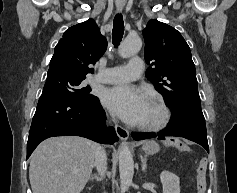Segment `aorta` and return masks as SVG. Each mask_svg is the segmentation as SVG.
Listing matches in <instances>:
<instances>
[{
	"mask_svg": "<svg viewBox=\"0 0 237 193\" xmlns=\"http://www.w3.org/2000/svg\"><path fill=\"white\" fill-rule=\"evenodd\" d=\"M142 47V40L137 35H128L119 48V55L123 58L136 54ZM119 173L121 191L124 193L132 183L134 175V161L131 151L126 144L119 150Z\"/></svg>",
	"mask_w": 237,
	"mask_h": 193,
	"instance_id": "obj_1",
	"label": "aorta"
}]
</instances>
